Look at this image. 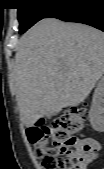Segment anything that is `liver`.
Listing matches in <instances>:
<instances>
[{"label":"liver","mask_w":104,"mask_h":169,"mask_svg":"<svg viewBox=\"0 0 104 169\" xmlns=\"http://www.w3.org/2000/svg\"><path fill=\"white\" fill-rule=\"evenodd\" d=\"M104 73V34L80 23L42 19L20 39L13 84L26 127L83 102Z\"/></svg>","instance_id":"1"}]
</instances>
